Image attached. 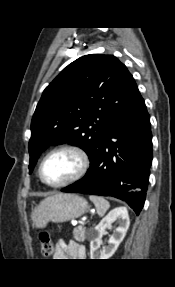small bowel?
I'll return each instance as SVG.
<instances>
[{
  "label": "small bowel",
  "mask_w": 175,
  "mask_h": 287,
  "mask_svg": "<svg viewBox=\"0 0 175 287\" xmlns=\"http://www.w3.org/2000/svg\"><path fill=\"white\" fill-rule=\"evenodd\" d=\"M55 257L57 259L70 257L75 260H83L86 258V249L83 245H79L76 242L67 243L61 238L56 244Z\"/></svg>",
  "instance_id": "obj_1"
}]
</instances>
